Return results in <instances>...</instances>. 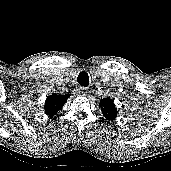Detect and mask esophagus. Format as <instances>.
Returning <instances> with one entry per match:
<instances>
[{
	"instance_id": "1",
	"label": "esophagus",
	"mask_w": 171,
	"mask_h": 171,
	"mask_svg": "<svg viewBox=\"0 0 171 171\" xmlns=\"http://www.w3.org/2000/svg\"><path fill=\"white\" fill-rule=\"evenodd\" d=\"M78 94L80 96H87L88 95V89L86 87H80L78 89Z\"/></svg>"
}]
</instances>
